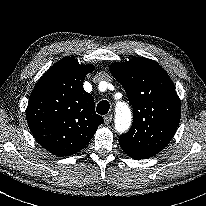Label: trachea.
<instances>
[{
    "label": "trachea",
    "mask_w": 206,
    "mask_h": 206,
    "mask_svg": "<svg viewBox=\"0 0 206 206\" xmlns=\"http://www.w3.org/2000/svg\"><path fill=\"white\" fill-rule=\"evenodd\" d=\"M109 109H110L109 102L106 100H103L98 103L96 110L98 114L105 115L108 113Z\"/></svg>",
    "instance_id": "1"
}]
</instances>
